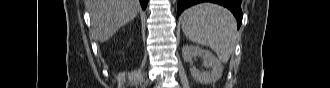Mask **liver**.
<instances>
[{
    "label": "liver",
    "instance_id": "1",
    "mask_svg": "<svg viewBox=\"0 0 330 88\" xmlns=\"http://www.w3.org/2000/svg\"><path fill=\"white\" fill-rule=\"evenodd\" d=\"M86 6L91 16L92 35L101 43L132 21L140 10L138 0H86Z\"/></svg>",
    "mask_w": 330,
    "mask_h": 88
}]
</instances>
